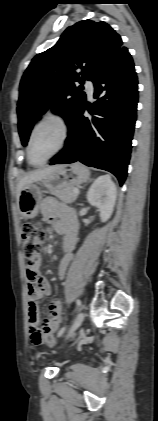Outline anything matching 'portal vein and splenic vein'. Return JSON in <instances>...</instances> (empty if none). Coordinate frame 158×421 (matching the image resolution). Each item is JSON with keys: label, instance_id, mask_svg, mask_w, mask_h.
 <instances>
[{"label": "portal vein and splenic vein", "instance_id": "1", "mask_svg": "<svg viewBox=\"0 0 158 421\" xmlns=\"http://www.w3.org/2000/svg\"><path fill=\"white\" fill-rule=\"evenodd\" d=\"M74 194L78 195L79 194V190L78 189H74Z\"/></svg>", "mask_w": 158, "mask_h": 421}]
</instances>
